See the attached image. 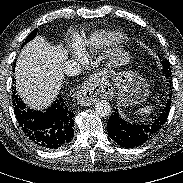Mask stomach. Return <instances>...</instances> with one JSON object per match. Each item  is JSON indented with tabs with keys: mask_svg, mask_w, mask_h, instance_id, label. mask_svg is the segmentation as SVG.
Segmentation results:
<instances>
[{
	"mask_svg": "<svg viewBox=\"0 0 183 183\" xmlns=\"http://www.w3.org/2000/svg\"><path fill=\"white\" fill-rule=\"evenodd\" d=\"M130 62L129 54L126 52L116 53L113 64L124 65ZM116 85L118 88V102L120 106H132L143 103L148 94V84L139 74L126 71L117 74Z\"/></svg>",
	"mask_w": 183,
	"mask_h": 183,
	"instance_id": "obj_1",
	"label": "stomach"
}]
</instances>
